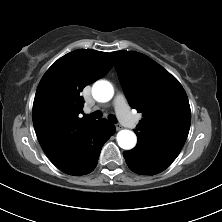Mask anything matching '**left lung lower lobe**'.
Instances as JSON below:
<instances>
[{
    "instance_id": "obj_1",
    "label": "left lung lower lobe",
    "mask_w": 222,
    "mask_h": 222,
    "mask_svg": "<svg viewBox=\"0 0 222 222\" xmlns=\"http://www.w3.org/2000/svg\"><path fill=\"white\" fill-rule=\"evenodd\" d=\"M123 155L128 167L133 172L142 175L160 173L172 163L163 156L141 145H137L130 151H125Z\"/></svg>"
}]
</instances>
